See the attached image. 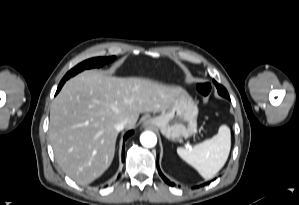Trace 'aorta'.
Segmentation results:
<instances>
[{
	"instance_id": "aorta-1",
	"label": "aorta",
	"mask_w": 299,
	"mask_h": 205,
	"mask_svg": "<svg viewBox=\"0 0 299 205\" xmlns=\"http://www.w3.org/2000/svg\"><path fill=\"white\" fill-rule=\"evenodd\" d=\"M140 142L144 147L151 148L157 143V137L153 132L146 131L140 136Z\"/></svg>"
}]
</instances>
